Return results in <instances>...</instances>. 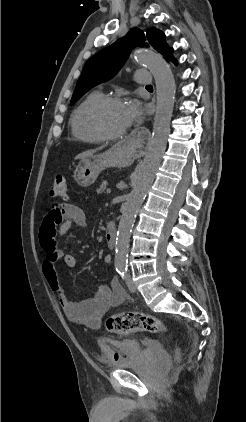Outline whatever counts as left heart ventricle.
Listing matches in <instances>:
<instances>
[{
	"label": "left heart ventricle",
	"instance_id": "left-heart-ventricle-1",
	"mask_svg": "<svg viewBox=\"0 0 246 422\" xmlns=\"http://www.w3.org/2000/svg\"><path fill=\"white\" fill-rule=\"evenodd\" d=\"M103 121L111 132H121L128 128L124 104H114L106 108L103 113Z\"/></svg>",
	"mask_w": 246,
	"mask_h": 422
}]
</instances>
